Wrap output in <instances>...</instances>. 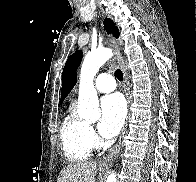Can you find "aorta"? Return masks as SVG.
Wrapping results in <instances>:
<instances>
[{
    "mask_svg": "<svg viewBox=\"0 0 196 182\" xmlns=\"http://www.w3.org/2000/svg\"><path fill=\"white\" fill-rule=\"evenodd\" d=\"M112 57V51L108 48H98L89 52L81 67L79 85L78 116L89 122H95L100 118L99 101L94 87V77L99 68ZM116 173L112 172L106 182H116Z\"/></svg>",
    "mask_w": 196,
    "mask_h": 182,
    "instance_id": "obj_1",
    "label": "aorta"
}]
</instances>
